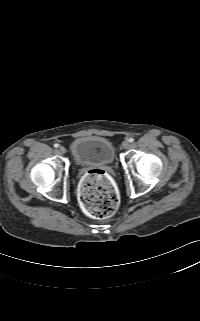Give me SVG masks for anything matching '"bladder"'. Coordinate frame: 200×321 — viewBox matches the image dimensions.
Returning a JSON list of instances; mask_svg holds the SVG:
<instances>
[{
    "instance_id": "obj_1",
    "label": "bladder",
    "mask_w": 200,
    "mask_h": 321,
    "mask_svg": "<svg viewBox=\"0 0 200 321\" xmlns=\"http://www.w3.org/2000/svg\"><path fill=\"white\" fill-rule=\"evenodd\" d=\"M70 152L78 165H109L116 157L113 143L101 136L76 138L70 145Z\"/></svg>"
}]
</instances>
